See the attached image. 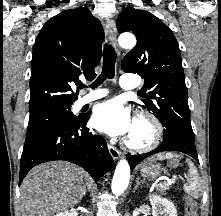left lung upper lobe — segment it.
I'll list each match as a JSON object with an SVG mask.
<instances>
[{"mask_svg": "<svg viewBox=\"0 0 221 216\" xmlns=\"http://www.w3.org/2000/svg\"><path fill=\"white\" fill-rule=\"evenodd\" d=\"M116 24L119 32L137 36L121 67L145 78L144 90L150 91L143 107L161 121L165 136L177 132L194 138L181 53L172 31L153 14L132 7L121 12Z\"/></svg>", "mask_w": 221, "mask_h": 216, "instance_id": "left-lung-upper-lobe-1", "label": "left lung upper lobe"}]
</instances>
